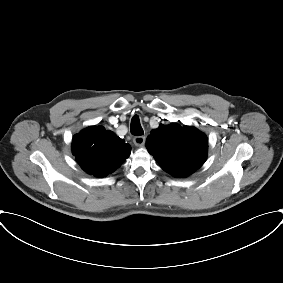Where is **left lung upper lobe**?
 <instances>
[{
  "instance_id": "5c2ea615",
  "label": "left lung upper lobe",
  "mask_w": 283,
  "mask_h": 283,
  "mask_svg": "<svg viewBox=\"0 0 283 283\" xmlns=\"http://www.w3.org/2000/svg\"><path fill=\"white\" fill-rule=\"evenodd\" d=\"M146 147L161 168L175 177H186L206 160L207 138L194 127L177 123L160 125L151 131Z\"/></svg>"
}]
</instances>
